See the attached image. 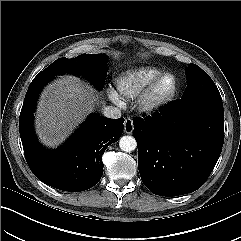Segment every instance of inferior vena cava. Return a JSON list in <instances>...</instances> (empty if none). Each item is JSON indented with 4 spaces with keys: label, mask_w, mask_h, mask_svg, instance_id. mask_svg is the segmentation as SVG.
<instances>
[{
    "label": "inferior vena cava",
    "mask_w": 241,
    "mask_h": 241,
    "mask_svg": "<svg viewBox=\"0 0 241 241\" xmlns=\"http://www.w3.org/2000/svg\"><path fill=\"white\" fill-rule=\"evenodd\" d=\"M103 114L107 118L118 119L121 117V111L114 106H106L103 108Z\"/></svg>",
    "instance_id": "inferior-vena-cava-1"
}]
</instances>
